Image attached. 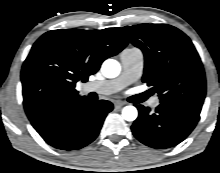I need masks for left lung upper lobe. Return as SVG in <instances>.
<instances>
[{
    "label": "left lung upper lobe",
    "instance_id": "5c2ea615",
    "mask_svg": "<svg viewBox=\"0 0 220 173\" xmlns=\"http://www.w3.org/2000/svg\"><path fill=\"white\" fill-rule=\"evenodd\" d=\"M144 54L142 81L158 93L160 103L200 114L206 80L191 40L167 24H139L117 28Z\"/></svg>",
    "mask_w": 220,
    "mask_h": 173
}]
</instances>
